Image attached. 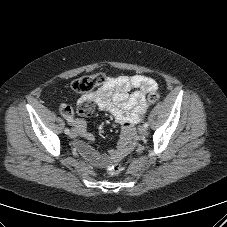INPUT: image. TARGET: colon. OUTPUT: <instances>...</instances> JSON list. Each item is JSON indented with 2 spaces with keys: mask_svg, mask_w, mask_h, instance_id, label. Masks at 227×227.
<instances>
[{
  "mask_svg": "<svg viewBox=\"0 0 227 227\" xmlns=\"http://www.w3.org/2000/svg\"><path fill=\"white\" fill-rule=\"evenodd\" d=\"M106 81V77L103 73H95L93 75L80 77L72 82V89L79 94H86L93 91L95 88L103 85ZM159 98V93L157 91L149 94L147 99V106L155 103ZM60 112L65 117H70L73 115V110L70 106L62 104L60 107ZM110 176H118L122 167L120 164H112L107 169Z\"/></svg>",
  "mask_w": 227,
  "mask_h": 227,
  "instance_id": "obj_1",
  "label": "colon"
}]
</instances>
